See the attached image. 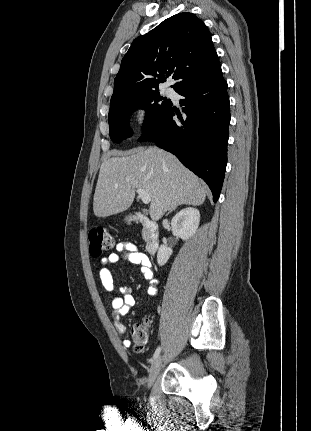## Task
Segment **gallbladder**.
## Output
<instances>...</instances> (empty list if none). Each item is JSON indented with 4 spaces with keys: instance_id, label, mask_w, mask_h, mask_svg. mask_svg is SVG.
Listing matches in <instances>:
<instances>
[{
    "instance_id": "1",
    "label": "gallbladder",
    "mask_w": 311,
    "mask_h": 431,
    "mask_svg": "<svg viewBox=\"0 0 311 431\" xmlns=\"http://www.w3.org/2000/svg\"><path fill=\"white\" fill-rule=\"evenodd\" d=\"M143 214H146V210H142Z\"/></svg>"
}]
</instances>
